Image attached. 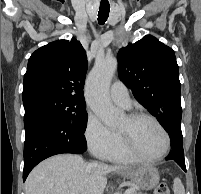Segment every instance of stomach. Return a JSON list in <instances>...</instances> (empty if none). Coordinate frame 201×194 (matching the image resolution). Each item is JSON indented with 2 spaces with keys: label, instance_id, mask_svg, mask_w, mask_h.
I'll list each match as a JSON object with an SVG mask.
<instances>
[{
  "label": "stomach",
  "instance_id": "obj_1",
  "mask_svg": "<svg viewBox=\"0 0 201 194\" xmlns=\"http://www.w3.org/2000/svg\"><path fill=\"white\" fill-rule=\"evenodd\" d=\"M122 176L133 181L142 190H151L159 183L158 170L151 165L128 168L121 172Z\"/></svg>",
  "mask_w": 201,
  "mask_h": 194
}]
</instances>
